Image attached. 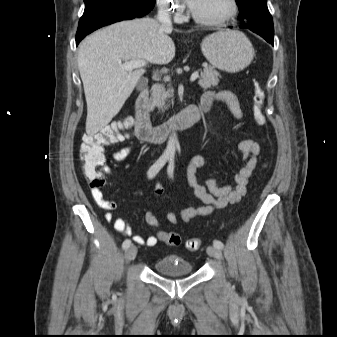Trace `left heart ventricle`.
Returning <instances> with one entry per match:
<instances>
[{"label":"left heart ventricle","instance_id":"1","mask_svg":"<svg viewBox=\"0 0 337 337\" xmlns=\"http://www.w3.org/2000/svg\"><path fill=\"white\" fill-rule=\"evenodd\" d=\"M192 9L202 17L217 19L228 12L229 2L228 0H198Z\"/></svg>","mask_w":337,"mask_h":337}]
</instances>
